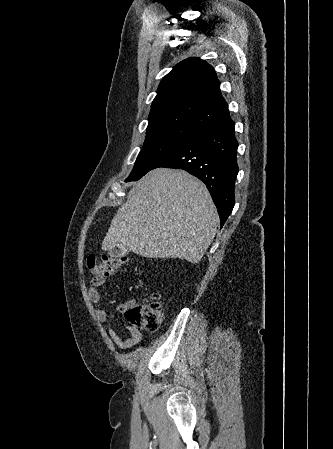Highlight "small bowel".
<instances>
[{"label": "small bowel", "mask_w": 333, "mask_h": 449, "mask_svg": "<svg viewBox=\"0 0 333 449\" xmlns=\"http://www.w3.org/2000/svg\"><path fill=\"white\" fill-rule=\"evenodd\" d=\"M105 277H106V275L94 274L91 277V279L89 280L88 291H89L90 299L95 306V313H96L97 320L101 324L109 327L110 337H111L112 341L114 342V344L118 348H121V349L131 348L140 342L142 335L138 329H136L134 327H129L128 328L129 336L122 337V336H120V334H118V332H116L114 329H112L110 327V321H111L112 316L108 311L103 309L100 305L101 304L100 288L104 284ZM130 302H132V301H130ZM130 302L120 304L117 307L118 312L124 313L126 307L128 306V304Z\"/></svg>", "instance_id": "1"}]
</instances>
